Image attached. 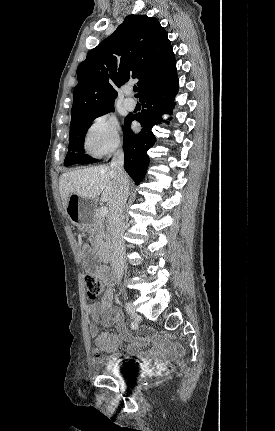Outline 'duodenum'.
<instances>
[{"instance_id":"obj_1","label":"duodenum","mask_w":275,"mask_h":431,"mask_svg":"<svg viewBox=\"0 0 275 431\" xmlns=\"http://www.w3.org/2000/svg\"><path fill=\"white\" fill-rule=\"evenodd\" d=\"M98 258L101 262H110L112 259L111 251L107 247L100 248L98 251Z\"/></svg>"}]
</instances>
